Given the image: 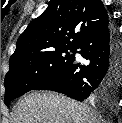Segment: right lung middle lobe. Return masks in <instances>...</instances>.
Instances as JSON below:
<instances>
[{
	"mask_svg": "<svg viewBox=\"0 0 122 123\" xmlns=\"http://www.w3.org/2000/svg\"><path fill=\"white\" fill-rule=\"evenodd\" d=\"M75 52L76 49L48 52L10 64V70L5 76V104L9 106L11 100L59 74L74 61Z\"/></svg>",
	"mask_w": 122,
	"mask_h": 123,
	"instance_id": "obj_1",
	"label": "right lung middle lobe"
}]
</instances>
